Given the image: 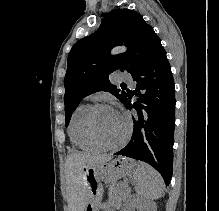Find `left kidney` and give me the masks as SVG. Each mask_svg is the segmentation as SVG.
I'll use <instances>...</instances> for the list:
<instances>
[{"mask_svg": "<svg viewBox=\"0 0 219 211\" xmlns=\"http://www.w3.org/2000/svg\"><path fill=\"white\" fill-rule=\"evenodd\" d=\"M132 207H136L137 211H152L148 205H145V201L142 199H138V197H133L132 199Z\"/></svg>", "mask_w": 219, "mask_h": 211, "instance_id": "left-kidney-1", "label": "left kidney"}]
</instances>
